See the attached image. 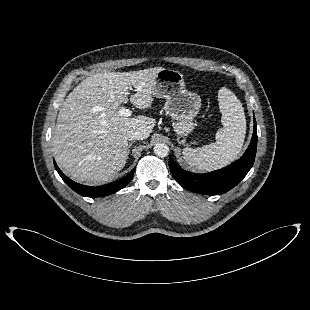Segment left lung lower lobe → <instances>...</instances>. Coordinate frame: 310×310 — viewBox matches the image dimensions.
Here are the masks:
<instances>
[{"mask_svg":"<svg viewBox=\"0 0 310 310\" xmlns=\"http://www.w3.org/2000/svg\"><path fill=\"white\" fill-rule=\"evenodd\" d=\"M257 149V125L254 118V131L250 145L244 155L231 165L210 173L195 174L179 168L172 158L169 167L173 177L189 191L205 194L220 195L236 186L253 166Z\"/></svg>","mask_w":310,"mask_h":310,"instance_id":"obj_1","label":"left lung lower lobe"}]
</instances>
